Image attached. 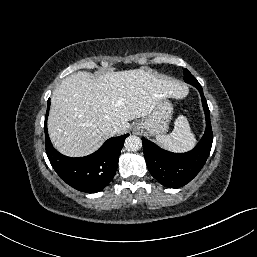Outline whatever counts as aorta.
Listing matches in <instances>:
<instances>
[{
  "label": "aorta",
  "mask_w": 257,
  "mask_h": 257,
  "mask_svg": "<svg viewBox=\"0 0 257 257\" xmlns=\"http://www.w3.org/2000/svg\"><path fill=\"white\" fill-rule=\"evenodd\" d=\"M124 146L128 151H137L142 146V141L137 136H129L125 139Z\"/></svg>",
  "instance_id": "762f6f07"
}]
</instances>
